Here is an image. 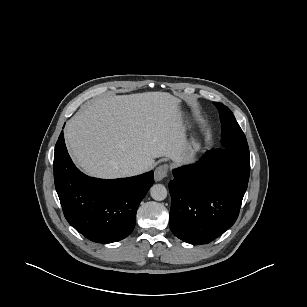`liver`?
<instances>
[{"instance_id":"liver-1","label":"liver","mask_w":307,"mask_h":307,"mask_svg":"<svg viewBox=\"0 0 307 307\" xmlns=\"http://www.w3.org/2000/svg\"><path fill=\"white\" fill-rule=\"evenodd\" d=\"M75 163L94 177H125L124 170L158 157L180 164L187 148L180 101L166 92L115 95L89 101L65 127Z\"/></svg>"}]
</instances>
